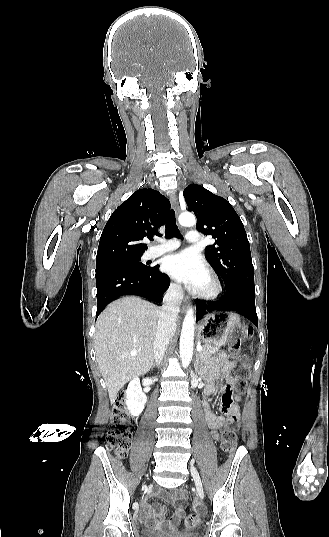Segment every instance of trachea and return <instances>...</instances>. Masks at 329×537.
Masks as SVG:
<instances>
[{"mask_svg":"<svg viewBox=\"0 0 329 537\" xmlns=\"http://www.w3.org/2000/svg\"><path fill=\"white\" fill-rule=\"evenodd\" d=\"M165 228H166V230H165V238H169V237H172V236L176 237V238H181L180 232H179L178 227L176 225L174 210H171L169 212Z\"/></svg>","mask_w":329,"mask_h":537,"instance_id":"trachea-1","label":"trachea"}]
</instances>
